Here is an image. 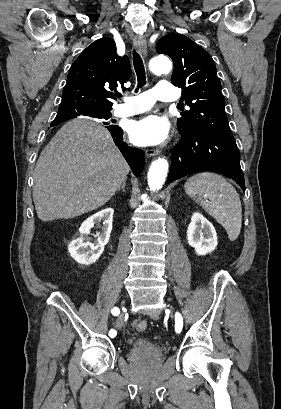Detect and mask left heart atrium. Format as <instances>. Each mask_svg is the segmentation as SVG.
<instances>
[{
    "label": "left heart atrium",
    "mask_w": 281,
    "mask_h": 409,
    "mask_svg": "<svg viewBox=\"0 0 281 409\" xmlns=\"http://www.w3.org/2000/svg\"><path fill=\"white\" fill-rule=\"evenodd\" d=\"M168 136L167 121L157 115H143L130 126V138L138 146H157L164 143Z\"/></svg>",
    "instance_id": "39dd6f15"
}]
</instances>
